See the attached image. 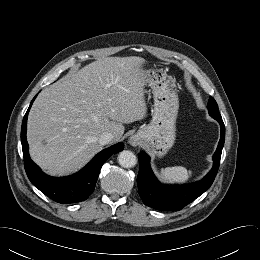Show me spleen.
<instances>
[{"label":"spleen","mask_w":260,"mask_h":260,"mask_svg":"<svg viewBox=\"0 0 260 260\" xmlns=\"http://www.w3.org/2000/svg\"><path fill=\"white\" fill-rule=\"evenodd\" d=\"M192 172L188 171L185 167L174 166L161 169V176L165 181L171 183H184L186 182Z\"/></svg>","instance_id":"3e777b00"}]
</instances>
